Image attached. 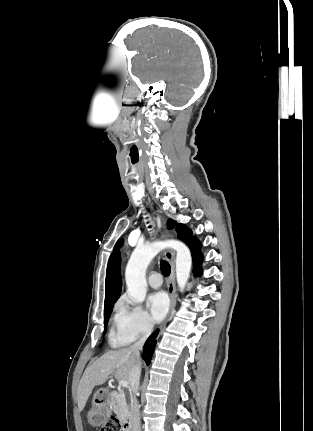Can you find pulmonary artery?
<instances>
[{"mask_svg":"<svg viewBox=\"0 0 313 431\" xmlns=\"http://www.w3.org/2000/svg\"><path fill=\"white\" fill-rule=\"evenodd\" d=\"M148 283L152 288H159L162 285V278L158 272H152L148 276Z\"/></svg>","mask_w":313,"mask_h":431,"instance_id":"obj_1","label":"pulmonary artery"}]
</instances>
